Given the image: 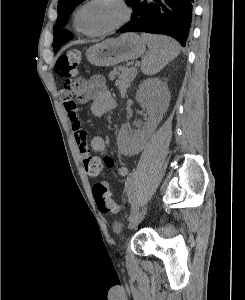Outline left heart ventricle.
<instances>
[{"label": "left heart ventricle", "mask_w": 245, "mask_h": 300, "mask_svg": "<svg viewBox=\"0 0 245 300\" xmlns=\"http://www.w3.org/2000/svg\"><path fill=\"white\" fill-rule=\"evenodd\" d=\"M122 9L112 0H98L82 13V24L88 31L107 29L122 18Z\"/></svg>", "instance_id": "b2bd125f"}]
</instances>
